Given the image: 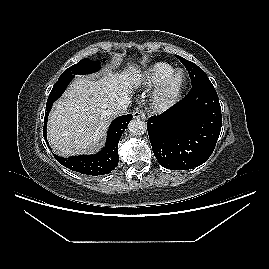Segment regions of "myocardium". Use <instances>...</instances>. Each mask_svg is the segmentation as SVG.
I'll return each instance as SVG.
<instances>
[{
    "label": "myocardium",
    "mask_w": 269,
    "mask_h": 269,
    "mask_svg": "<svg viewBox=\"0 0 269 269\" xmlns=\"http://www.w3.org/2000/svg\"><path fill=\"white\" fill-rule=\"evenodd\" d=\"M187 84V75L181 70H175L155 89L151 103L154 110L164 112L173 107L180 99Z\"/></svg>",
    "instance_id": "f54148a6"
}]
</instances>
